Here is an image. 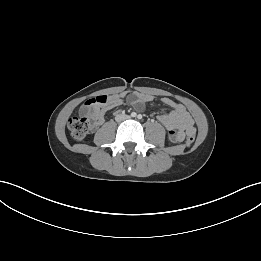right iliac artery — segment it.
<instances>
[{
	"label": "right iliac artery",
	"instance_id": "82829eb1",
	"mask_svg": "<svg viewBox=\"0 0 261 261\" xmlns=\"http://www.w3.org/2000/svg\"><path fill=\"white\" fill-rule=\"evenodd\" d=\"M131 116H132V117H136L137 114H136L135 112H132V113H131Z\"/></svg>",
	"mask_w": 261,
	"mask_h": 261
}]
</instances>
